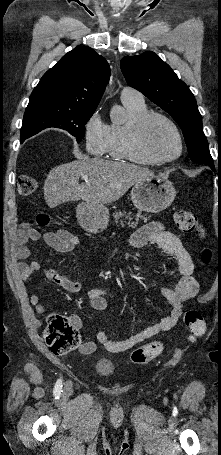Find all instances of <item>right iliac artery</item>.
I'll return each instance as SVG.
<instances>
[{
  "label": "right iliac artery",
  "instance_id": "right-iliac-artery-1",
  "mask_svg": "<svg viewBox=\"0 0 221 455\" xmlns=\"http://www.w3.org/2000/svg\"><path fill=\"white\" fill-rule=\"evenodd\" d=\"M62 386H63V385H62V380L59 379V380L57 381V383L55 384L54 393L59 394V393L61 392Z\"/></svg>",
  "mask_w": 221,
  "mask_h": 455
}]
</instances>
